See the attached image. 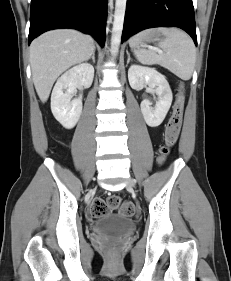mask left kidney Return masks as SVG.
Instances as JSON below:
<instances>
[{
	"instance_id": "obj_1",
	"label": "left kidney",
	"mask_w": 231,
	"mask_h": 281,
	"mask_svg": "<svg viewBox=\"0 0 231 281\" xmlns=\"http://www.w3.org/2000/svg\"><path fill=\"white\" fill-rule=\"evenodd\" d=\"M128 80L133 89H141L148 85L151 92L156 93L158 101L154 108L146 99L141 102L140 107L146 124L150 127L159 126L165 119L173 99L172 91L164 75L154 68L131 65L128 70Z\"/></svg>"
}]
</instances>
